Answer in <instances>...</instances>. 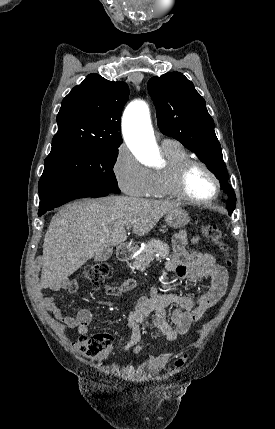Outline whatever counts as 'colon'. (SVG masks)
<instances>
[{
	"label": "colon",
	"instance_id": "colon-1",
	"mask_svg": "<svg viewBox=\"0 0 275 429\" xmlns=\"http://www.w3.org/2000/svg\"><path fill=\"white\" fill-rule=\"evenodd\" d=\"M202 234L205 239L217 247L224 257V262L227 266L231 265L228 248L223 241V233L215 224H204L202 226ZM109 272V267L104 263H96L87 265L82 270V276L88 282L94 285L101 284ZM113 338L106 333H98L91 336H81L75 342V348L84 357L101 361L107 358L112 349ZM186 354L180 355L174 362L175 370L181 369L187 362Z\"/></svg>",
	"mask_w": 275,
	"mask_h": 429
}]
</instances>
